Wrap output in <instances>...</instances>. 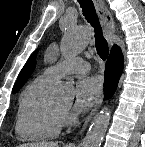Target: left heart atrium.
<instances>
[{
	"label": "left heart atrium",
	"mask_w": 145,
	"mask_h": 147,
	"mask_svg": "<svg viewBox=\"0 0 145 147\" xmlns=\"http://www.w3.org/2000/svg\"><path fill=\"white\" fill-rule=\"evenodd\" d=\"M102 82L96 76L82 78L76 86L75 110L84 111L91 107L100 97Z\"/></svg>",
	"instance_id": "left-heart-atrium-1"
}]
</instances>
